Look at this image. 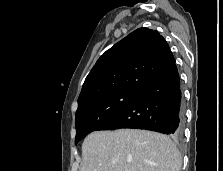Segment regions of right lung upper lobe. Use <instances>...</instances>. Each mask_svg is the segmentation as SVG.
Wrapping results in <instances>:
<instances>
[{
  "mask_svg": "<svg viewBox=\"0 0 223 171\" xmlns=\"http://www.w3.org/2000/svg\"><path fill=\"white\" fill-rule=\"evenodd\" d=\"M174 64L165 39L157 31L139 28L98 59L85 79L78 108L110 93L139 92Z\"/></svg>",
  "mask_w": 223,
  "mask_h": 171,
  "instance_id": "cb5924a9",
  "label": "right lung upper lobe"
}]
</instances>
